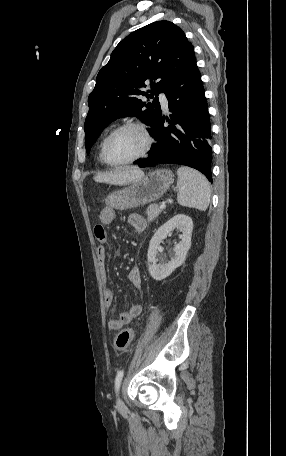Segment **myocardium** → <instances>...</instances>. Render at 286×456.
Wrapping results in <instances>:
<instances>
[{
	"label": "myocardium",
	"instance_id": "myocardium-1",
	"mask_svg": "<svg viewBox=\"0 0 286 456\" xmlns=\"http://www.w3.org/2000/svg\"><path fill=\"white\" fill-rule=\"evenodd\" d=\"M126 128H137L138 130H140L145 137V141H146L145 147L139 155H137L129 160H126L123 162H113L109 159L108 154H107L109 142L114 137V135H116L118 132H120L121 130L126 129ZM153 143H154V139H153L152 133L146 124L139 122V121H127V122H124V123L118 125L114 129H112L106 136L103 146H102V160L104 161L105 164H107L111 167H123V166L135 163V162L145 158L151 151Z\"/></svg>",
	"mask_w": 286,
	"mask_h": 456
}]
</instances>
